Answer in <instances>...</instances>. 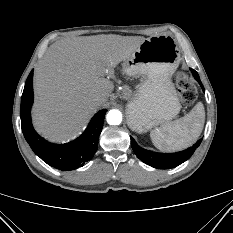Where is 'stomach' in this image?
Instances as JSON below:
<instances>
[{
  "mask_svg": "<svg viewBox=\"0 0 233 233\" xmlns=\"http://www.w3.org/2000/svg\"><path fill=\"white\" fill-rule=\"evenodd\" d=\"M181 60L173 38L165 35L144 40L123 63L126 74L140 79L126 107L127 124L137 133L163 125L179 113L181 104L171 81Z\"/></svg>",
  "mask_w": 233,
  "mask_h": 233,
  "instance_id": "1",
  "label": "stomach"
}]
</instances>
